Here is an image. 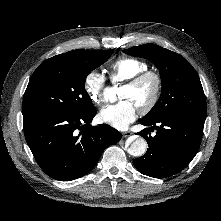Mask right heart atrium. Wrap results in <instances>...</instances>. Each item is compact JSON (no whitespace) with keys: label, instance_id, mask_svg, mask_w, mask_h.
<instances>
[{"label":"right heart atrium","instance_id":"obj_1","mask_svg":"<svg viewBox=\"0 0 221 221\" xmlns=\"http://www.w3.org/2000/svg\"><path fill=\"white\" fill-rule=\"evenodd\" d=\"M105 87V76L97 70L88 72L84 78L83 89L93 103H99L103 100Z\"/></svg>","mask_w":221,"mask_h":221}]
</instances>
